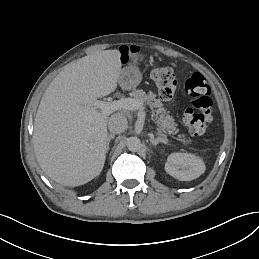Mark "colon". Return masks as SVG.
I'll return each instance as SVG.
<instances>
[{
    "instance_id": "1",
    "label": "colon",
    "mask_w": 259,
    "mask_h": 259,
    "mask_svg": "<svg viewBox=\"0 0 259 259\" xmlns=\"http://www.w3.org/2000/svg\"><path fill=\"white\" fill-rule=\"evenodd\" d=\"M150 75L161 98L168 100L174 96L177 82L170 67L156 65ZM185 91L192 106L183 109L182 121L192 135L200 136L213 120L211 89L205 76L196 72L186 80Z\"/></svg>"
}]
</instances>
